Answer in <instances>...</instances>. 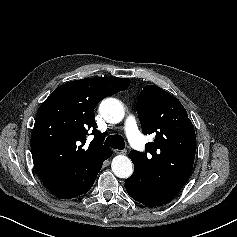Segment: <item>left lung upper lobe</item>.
Here are the masks:
<instances>
[{
	"mask_svg": "<svg viewBox=\"0 0 237 237\" xmlns=\"http://www.w3.org/2000/svg\"><path fill=\"white\" fill-rule=\"evenodd\" d=\"M136 109L143 134L155 138L146 144L145 153L132 150L129 154L134 183L146 200L164 204L191 175L196 153L194 126L180 101L155 85L143 88Z\"/></svg>",
	"mask_w": 237,
	"mask_h": 237,
	"instance_id": "obj_1",
	"label": "left lung upper lobe"
}]
</instances>
